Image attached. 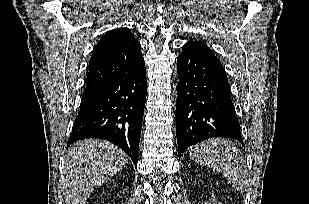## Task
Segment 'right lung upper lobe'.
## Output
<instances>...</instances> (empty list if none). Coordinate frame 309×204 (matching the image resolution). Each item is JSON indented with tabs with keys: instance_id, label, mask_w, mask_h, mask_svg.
Wrapping results in <instances>:
<instances>
[{
	"instance_id": "right-lung-upper-lobe-1",
	"label": "right lung upper lobe",
	"mask_w": 309,
	"mask_h": 204,
	"mask_svg": "<svg viewBox=\"0 0 309 204\" xmlns=\"http://www.w3.org/2000/svg\"><path fill=\"white\" fill-rule=\"evenodd\" d=\"M144 66L140 43L128 28L107 32L94 47L86 90L134 73Z\"/></svg>"
}]
</instances>
